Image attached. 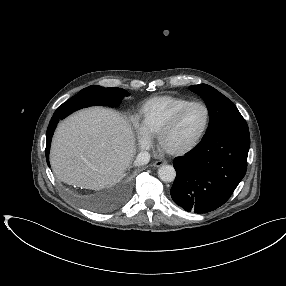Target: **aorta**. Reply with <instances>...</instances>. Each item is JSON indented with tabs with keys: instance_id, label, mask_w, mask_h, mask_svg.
Masks as SVG:
<instances>
[{
	"instance_id": "obj_1",
	"label": "aorta",
	"mask_w": 286,
	"mask_h": 286,
	"mask_svg": "<svg viewBox=\"0 0 286 286\" xmlns=\"http://www.w3.org/2000/svg\"><path fill=\"white\" fill-rule=\"evenodd\" d=\"M158 176L163 182H172L176 177V171L171 165H163L158 170Z\"/></svg>"
}]
</instances>
